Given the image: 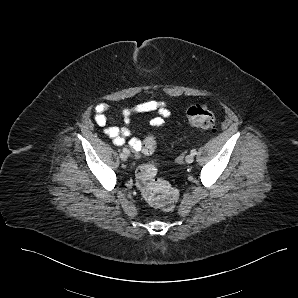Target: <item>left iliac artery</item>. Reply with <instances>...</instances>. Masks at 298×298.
I'll return each mask as SVG.
<instances>
[{"mask_svg": "<svg viewBox=\"0 0 298 298\" xmlns=\"http://www.w3.org/2000/svg\"><path fill=\"white\" fill-rule=\"evenodd\" d=\"M196 153H197V152H196L195 149L191 150V154H192V155H195Z\"/></svg>", "mask_w": 298, "mask_h": 298, "instance_id": "44dca946", "label": "left iliac artery"}]
</instances>
